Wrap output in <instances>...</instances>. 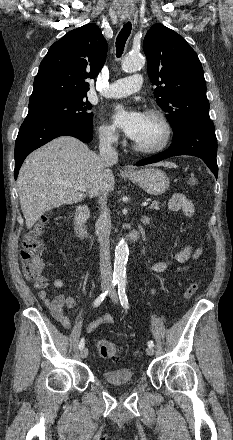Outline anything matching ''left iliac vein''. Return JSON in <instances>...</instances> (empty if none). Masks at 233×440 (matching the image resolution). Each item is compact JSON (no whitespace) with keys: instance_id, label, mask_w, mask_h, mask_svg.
Here are the masks:
<instances>
[{"instance_id":"4c4485c4","label":"left iliac vein","mask_w":233,"mask_h":440,"mask_svg":"<svg viewBox=\"0 0 233 440\" xmlns=\"http://www.w3.org/2000/svg\"><path fill=\"white\" fill-rule=\"evenodd\" d=\"M109 296H110V298L112 299V301H113L114 303H117V302H118V296H117V293H116L115 290H112V291L109 293ZM146 353H147L149 356H152V355L154 354V349H153L152 347H147V348H146Z\"/></svg>"}]
</instances>
